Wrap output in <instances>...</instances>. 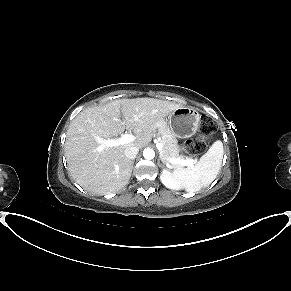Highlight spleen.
I'll return each instance as SVG.
<instances>
[{
	"instance_id": "obj_1",
	"label": "spleen",
	"mask_w": 291,
	"mask_h": 291,
	"mask_svg": "<svg viewBox=\"0 0 291 291\" xmlns=\"http://www.w3.org/2000/svg\"><path fill=\"white\" fill-rule=\"evenodd\" d=\"M223 144L215 141L209 150L193 167L177 168L173 172L176 180L180 181L187 192H196L209 186L221 169Z\"/></svg>"
}]
</instances>
